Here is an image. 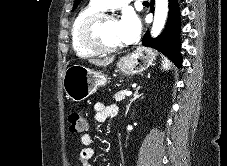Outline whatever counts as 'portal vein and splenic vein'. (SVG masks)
I'll use <instances>...</instances> for the list:
<instances>
[{
	"instance_id": "portal-vein-and-splenic-vein-1",
	"label": "portal vein and splenic vein",
	"mask_w": 227,
	"mask_h": 166,
	"mask_svg": "<svg viewBox=\"0 0 227 166\" xmlns=\"http://www.w3.org/2000/svg\"><path fill=\"white\" fill-rule=\"evenodd\" d=\"M132 94V91H127L126 96H130Z\"/></svg>"
}]
</instances>
